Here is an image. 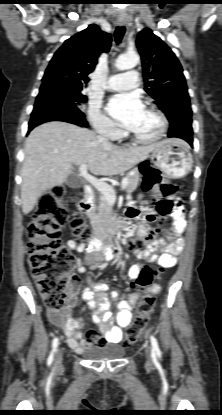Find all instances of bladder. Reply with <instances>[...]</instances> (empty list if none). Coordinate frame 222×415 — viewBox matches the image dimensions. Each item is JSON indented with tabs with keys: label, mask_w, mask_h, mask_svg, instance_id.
I'll use <instances>...</instances> for the list:
<instances>
[{
	"label": "bladder",
	"mask_w": 222,
	"mask_h": 415,
	"mask_svg": "<svg viewBox=\"0 0 222 415\" xmlns=\"http://www.w3.org/2000/svg\"><path fill=\"white\" fill-rule=\"evenodd\" d=\"M125 354L126 350L118 345L94 346L83 351V356L90 360L118 359Z\"/></svg>",
	"instance_id": "1"
}]
</instances>
